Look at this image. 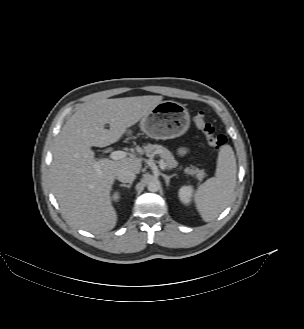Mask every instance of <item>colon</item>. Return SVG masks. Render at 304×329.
I'll return each mask as SVG.
<instances>
[{
    "label": "colon",
    "mask_w": 304,
    "mask_h": 329,
    "mask_svg": "<svg viewBox=\"0 0 304 329\" xmlns=\"http://www.w3.org/2000/svg\"><path fill=\"white\" fill-rule=\"evenodd\" d=\"M194 122L197 128L203 133L208 144L214 149L220 150L226 145L227 138L224 135L216 133L214 126L206 119L203 111L199 110L196 113Z\"/></svg>",
    "instance_id": "1"
}]
</instances>
